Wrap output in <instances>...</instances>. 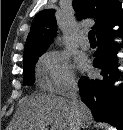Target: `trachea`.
I'll list each match as a JSON object with an SVG mask.
<instances>
[{
  "instance_id": "trachea-1",
  "label": "trachea",
  "mask_w": 123,
  "mask_h": 130,
  "mask_svg": "<svg viewBox=\"0 0 123 130\" xmlns=\"http://www.w3.org/2000/svg\"><path fill=\"white\" fill-rule=\"evenodd\" d=\"M88 38H89L90 41H96L94 30H91V31L88 33Z\"/></svg>"
}]
</instances>
